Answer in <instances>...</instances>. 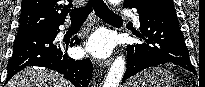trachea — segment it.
I'll return each instance as SVG.
<instances>
[{"mask_svg":"<svg viewBox=\"0 0 205 87\" xmlns=\"http://www.w3.org/2000/svg\"><path fill=\"white\" fill-rule=\"evenodd\" d=\"M94 9L95 14L106 22H122V18L112 12L101 0H89L83 7L76 8L70 13L72 22H83Z\"/></svg>","mask_w":205,"mask_h":87,"instance_id":"trachea-1","label":"trachea"}]
</instances>
